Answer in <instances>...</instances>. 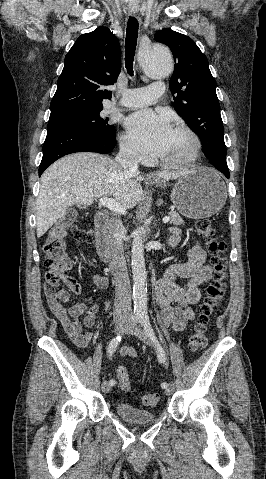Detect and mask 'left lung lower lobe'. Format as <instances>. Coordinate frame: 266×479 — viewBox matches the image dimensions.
<instances>
[{"instance_id":"1","label":"left lung lower lobe","mask_w":266,"mask_h":479,"mask_svg":"<svg viewBox=\"0 0 266 479\" xmlns=\"http://www.w3.org/2000/svg\"><path fill=\"white\" fill-rule=\"evenodd\" d=\"M218 170L221 171L227 178H229L230 174H229L228 168L227 169H218Z\"/></svg>"}]
</instances>
